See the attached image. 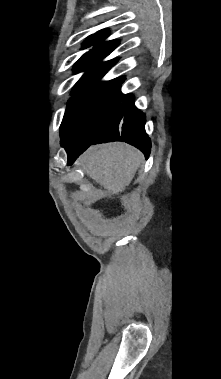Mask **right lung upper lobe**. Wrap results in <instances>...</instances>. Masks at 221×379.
<instances>
[{
  "label": "right lung upper lobe",
  "mask_w": 221,
  "mask_h": 379,
  "mask_svg": "<svg viewBox=\"0 0 221 379\" xmlns=\"http://www.w3.org/2000/svg\"><path fill=\"white\" fill-rule=\"evenodd\" d=\"M108 32L104 29L88 37L83 43L84 48L96 45L92 50L85 53L75 64L74 71H86L82 78L77 82L76 87L99 82L100 78L117 62V59L101 62L118 45L117 40L104 42ZM123 81L117 78L109 82Z\"/></svg>",
  "instance_id": "right-lung-upper-lobe-1"
}]
</instances>
